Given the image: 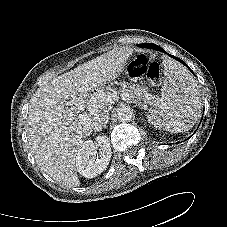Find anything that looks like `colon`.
Returning <instances> with one entry per match:
<instances>
[{"label": "colon", "instance_id": "1", "mask_svg": "<svg viewBox=\"0 0 227 227\" xmlns=\"http://www.w3.org/2000/svg\"><path fill=\"white\" fill-rule=\"evenodd\" d=\"M128 74L132 78H146L152 85L160 83V66L156 62L149 63L145 55L139 54L128 63Z\"/></svg>", "mask_w": 227, "mask_h": 227}]
</instances>
